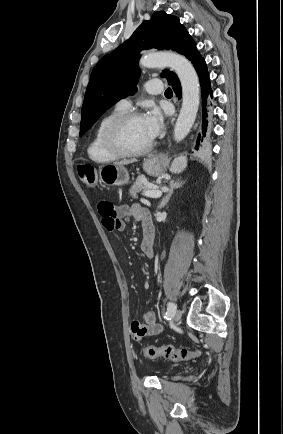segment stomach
<instances>
[{
    "instance_id": "obj_1",
    "label": "stomach",
    "mask_w": 283,
    "mask_h": 434,
    "mask_svg": "<svg viewBox=\"0 0 283 434\" xmlns=\"http://www.w3.org/2000/svg\"><path fill=\"white\" fill-rule=\"evenodd\" d=\"M143 169L149 175L160 176L164 172L163 161L159 156L151 155L144 160ZM100 171V180L108 186H122L129 181L128 171L123 165H105Z\"/></svg>"
}]
</instances>
